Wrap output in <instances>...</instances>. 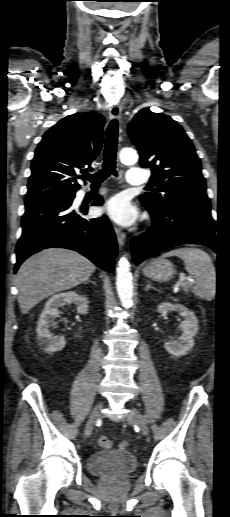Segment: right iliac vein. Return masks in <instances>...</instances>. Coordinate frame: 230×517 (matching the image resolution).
I'll return each mask as SVG.
<instances>
[{"instance_id":"obj_1","label":"right iliac vein","mask_w":230,"mask_h":517,"mask_svg":"<svg viewBox=\"0 0 230 517\" xmlns=\"http://www.w3.org/2000/svg\"><path fill=\"white\" fill-rule=\"evenodd\" d=\"M102 407H103V403H98L95 406V408L92 410V412L88 418V421L86 423V426H85L84 433H85L86 437H89L91 435L93 427L100 416Z\"/></svg>"}]
</instances>
